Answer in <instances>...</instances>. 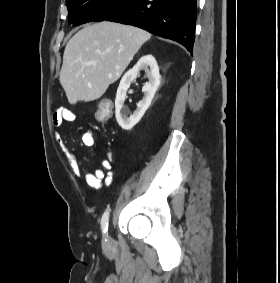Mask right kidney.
<instances>
[{"instance_id": "1", "label": "right kidney", "mask_w": 280, "mask_h": 283, "mask_svg": "<svg viewBox=\"0 0 280 283\" xmlns=\"http://www.w3.org/2000/svg\"><path fill=\"white\" fill-rule=\"evenodd\" d=\"M141 69L146 70L149 82L145 83L142 88L144 98L138 103L137 110L128 116L129 110L124 107L126 92ZM160 82L159 67L153 55L150 54L141 57L137 64L124 74L117 89L115 99L116 120L122 129L131 130L141 120L149 108Z\"/></svg>"}]
</instances>
